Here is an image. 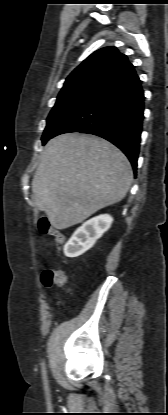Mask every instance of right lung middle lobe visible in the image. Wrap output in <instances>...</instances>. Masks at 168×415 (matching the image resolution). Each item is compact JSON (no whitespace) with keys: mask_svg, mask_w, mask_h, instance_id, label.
Here are the masks:
<instances>
[{"mask_svg":"<svg viewBox=\"0 0 168 415\" xmlns=\"http://www.w3.org/2000/svg\"><path fill=\"white\" fill-rule=\"evenodd\" d=\"M98 91H79L58 96L55 106L51 110L47 125L42 136L45 144L80 109L100 95Z\"/></svg>","mask_w":168,"mask_h":415,"instance_id":"dd1d6c3e","label":"right lung middle lobe"}]
</instances>
